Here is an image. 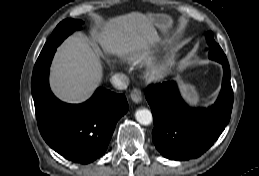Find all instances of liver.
<instances>
[{
	"mask_svg": "<svg viewBox=\"0 0 259 176\" xmlns=\"http://www.w3.org/2000/svg\"><path fill=\"white\" fill-rule=\"evenodd\" d=\"M94 40L106 54L124 57L147 53L158 42L153 22L139 12L111 18L93 32ZM103 76L99 47L83 36H71L57 49L51 67L54 94L69 103L87 100Z\"/></svg>",
	"mask_w": 259,
	"mask_h": 176,
	"instance_id": "6515ba94",
	"label": "liver"
}]
</instances>
